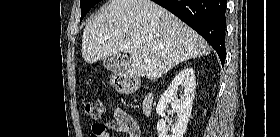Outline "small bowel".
Segmentation results:
<instances>
[{
  "instance_id": "c3829d8e",
  "label": "small bowel",
  "mask_w": 280,
  "mask_h": 137,
  "mask_svg": "<svg viewBox=\"0 0 280 137\" xmlns=\"http://www.w3.org/2000/svg\"><path fill=\"white\" fill-rule=\"evenodd\" d=\"M129 117L121 109L114 111V120L108 122L94 123L91 128L90 137H109L111 131H118L127 134L128 137H140L139 131H132L130 126L126 124Z\"/></svg>"
}]
</instances>
